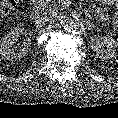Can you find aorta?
<instances>
[{
    "mask_svg": "<svg viewBox=\"0 0 118 118\" xmlns=\"http://www.w3.org/2000/svg\"><path fill=\"white\" fill-rule=\"evenodd\" d=\"M59 23L68 32H77L83 27L81 21L71 15L61 16Z\"/></svg>",
    "mask_w": 118,
    "mask_h": 118,
    "instance_id": "obj_1",
    "label": "aorta"
}]
</instances>
